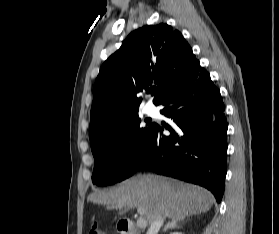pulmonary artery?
I'll return each mask as SVG.
<instances>
[{
	"mask_svg": "<svg viewBox=\"0 0 279 234\" xmlns=\"http://www.w3.org/2000/svg\"><path fill=\"white\" fill-rule=\"evenodd\" d=\"M145 112L148 115H155L157 113V109L153 104L147 103L146 106H145Z\"/></svg>",
	"mask_w": 279,
	"mask_h": 234,
	"instance_id": "obj_1",
	"label": "pulmonary artery"
}]
</instances>
